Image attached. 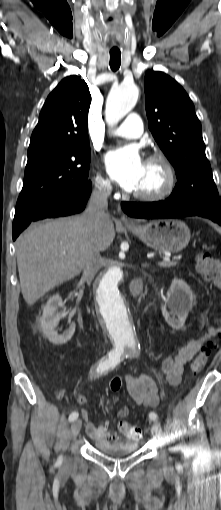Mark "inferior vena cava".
<instances>
[{
  "label": "inferior vena cava",
  "mask_w": 221,
  "mask_h": 510,
  "mask_svg": "<svg viewBox=\"0 0 221 510\" xmlns=\"http://www.w3.org/2000/svg\"><path fill=\"white\" fill-rule=\"evenodd\" d=\"M110 193V185H100L93 189L84 212L87 228L95 237L109 224L110 218L106 210ZM101 266L102 257L97 242L93 240L84 252L83 278L88 284L92 282Z\"/></svg>",
  "instance_id": "602c4592"
}]
</instances>
